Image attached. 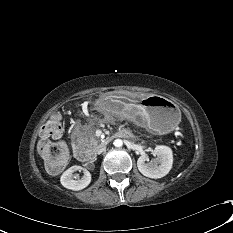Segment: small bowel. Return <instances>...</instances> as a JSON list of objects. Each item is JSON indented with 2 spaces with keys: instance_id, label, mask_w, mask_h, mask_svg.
<instances>
[{
  "instance_id": "obj_1",
  "label": "small bowel",
  "mask_w": 233,
  "mask_h": 233,
  "mask_svg": "<svg viewBox=\"0 0 233 233\" xmlns=\"http://www.w3.org/2000/svg\"><path fill=\"white\" fill-rule=\"evenodd\" d=\"M61 136H62V132H60L58 135L53 136L52 138L59 139V138H61Z\"/></svg>"
}]
</instances>
